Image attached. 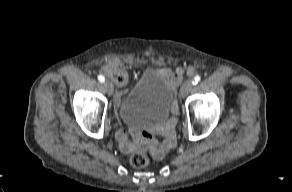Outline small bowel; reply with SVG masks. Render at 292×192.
I'll return each mask as SVG.
<instances>
[{
  "label": "small bowel",
  "instance_id": "obj_1",
  "mask_svg": "<svg viewBox=\"0 0 292 192\" xmlns=\"http://www.w3.org/2000/svg\"><path fill=\"white\" fill-rule=\"evenodd\" d=\"M183 68L177 67L175 70L170 68H161V73L172 85H178L183 76ZM123 94L117 96V101L120 102ZM176 104L173 105V110L176 111ZM155 133H158L163 140L159 143L154 139ZM174 129L172 127H163L155 131L153 128H147L145 131L133 129L131 140L124 130H118L116 133L120 148L125 153H143L149 149L156 157L163 156L173 145L175 139L173 137Z\"/></svg>",
  "mask_w": 292,
  "mask_h": 192
}]
</instances>
